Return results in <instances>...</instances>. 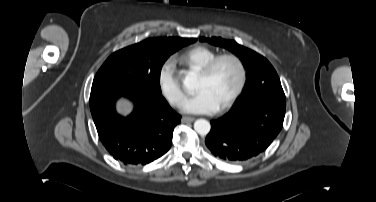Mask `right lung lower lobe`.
Segmentation results:
<instances>
[{
	"label": "right lung lower lobe",
	"mask_w": 376,
	"mask_h": 202,
	"mask_svg": "<svg viewBox=\"0 0 376 202\" xmlns=\"http://www.w3.org/2000/svg\"><path fill=\"white\" fill-rule=\"evenodd\" d=\"M122 95L135 104L126 118L115 111V102ZM90 109L102 144L125 165H145L165 154L181 118L161 93L142 86L91 89Z\"/></svg>",
	"instance_id": "1"
}]
</instances>
